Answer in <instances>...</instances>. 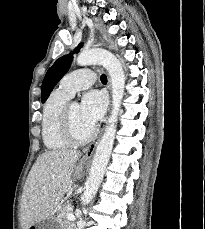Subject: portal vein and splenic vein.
I'll return each mask as SVG.
<instances>
[{
    "instance_id": "1",
    "label": "portal vein and splenic vein",
    "mask_w": 205,
    "mask_h": 229,
    "mask_svg": "<svg viewBox=\"0 0 205 229\" xmlns=\"http://www.w3.org/2000/svg\"><path fill=\"white\" fill-rule=\"evenodd\" d=\"M66 218H67L68 220H70V221H75V220H76V218H75V216L73 215V213H68V214L66 215Z\"/></svg>"
}]
</instances>
